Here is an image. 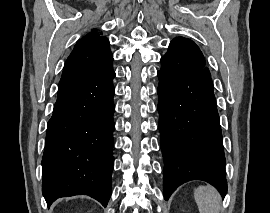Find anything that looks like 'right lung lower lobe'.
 I'll return each mask as SVG.
<instances>
[{
	"label": "right lung lower lobe",
	"instance_id": "obj_1",
	"mask_svg": "<svg viewBox=\"0 0 270 213\" xmlns=\"http://www.w3.org/2000/svg\"><path fill=\"white\" fill-rule=\"evenodd\" d=\"M114 77L112 70L59 88L42 160V193L49 206L57 198L78 194L107 206L112 191Z\"/></svg>",
	"mask_w": 270,
	"mask_h": 213
}]
</instances>
